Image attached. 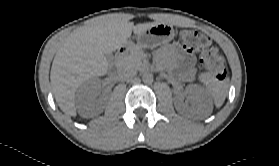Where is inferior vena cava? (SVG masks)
<instances>
[{
  "label": "inferior vena cava",
  "instance_id": "inferior-vena-cava-1",
  "mask_svg": "<svg viewBox=\"0 0 279 166\" xmlns=\"http://www.w3.org/2000/svg\"><path fill=\"white\" fill-rule=\"evenodd\" d=\"M136 73H137L136 70L129 68V69L123 70L121 72V76L123 78L129 79V78L134 77L136 75Z\"/></svg>",
  "mask_w": 279,
  "mask_h": 166
}]
</instances>
